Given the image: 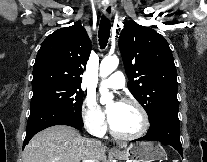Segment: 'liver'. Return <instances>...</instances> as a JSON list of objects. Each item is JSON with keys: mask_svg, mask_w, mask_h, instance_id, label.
Segmentation results:
<instances>
[{"mask_svg": "<svg viewBox=\"0 0 207 162\" xmlns=\"http://www.w3.org/2000/svg\"><path fill=\"white\" fill-rule=\"evenodd\" d=\"M106 149L93 139L82 137L73 127L55 125L37 133L29 141L23 152V162H100L106 159Z\"/></svg>", "mask_w": 207, "mask_h": 162, "instance_id": "6515ba94", "label": "liver"}]
</instances>
